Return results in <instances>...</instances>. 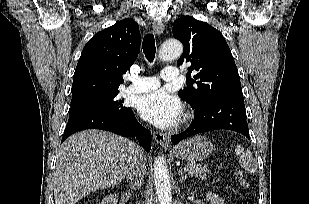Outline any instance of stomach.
Instances as JSON below:
<instances>
[{
	"instance_id": "1",
	"label": "stomach",
	"mask_w": 309,
	"mask_h": 204,
	"mask_svg": "<svg viewBox=\"0 0 309 204\" xmlns=\"http://www.w3.org/2000/svg\"><path fill=\"white\" fill-rule=\"evenodd\" d=\"M212 150L213 145L210 140L204 136L196 135L179 143L173 152L178 159L198 162L208 157Z\"/></svg>"
}]
</instances>
